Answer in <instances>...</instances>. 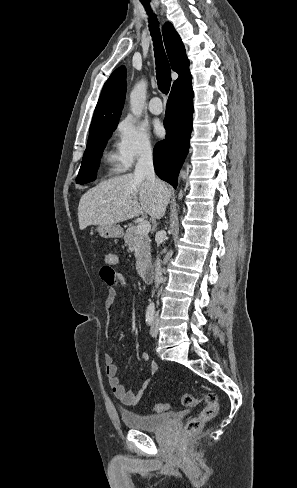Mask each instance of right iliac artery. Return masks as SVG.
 Instances as JSON below:
<instances>
[{
    "label": "right iliac artery",
    "mask_w": 297,
    "mask_h": 488,
    "mask_svg": "<svg viewBox=\"0 0 297 488\" xmlns=\"http://www.w3.org/2000/svg\"><path fill=\"white\" fill-rule=\"evenodd\" d=\"M154 320V307L149 306L146 311V322L151 325Z\"/></svg>",
    "instance_id": "82829eb1"
}]
</instances>
